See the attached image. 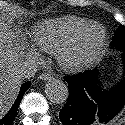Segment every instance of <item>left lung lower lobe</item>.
Returning <instances> with one entry per match:
<instances>
[{
    "mask_svg": "<svg viewBox=\"0 0 125 125\" xmlns=\"http://www.w3.org/2000/svg\"><path fill=\"white\" fill-rule=\"evenodd\" d=\"M112 44L116 47L115 42ZM64 79L68 83L69 96L59 113L63 125H100L113 119L125 105V77L106 92L98 86L96 70Z\"/></svg>",
    "mask_w": 125,
    "mask_h": 125,
    "instance_id": "obj_1",
    "label": "left lung lower lobe"
}]
</instances>
